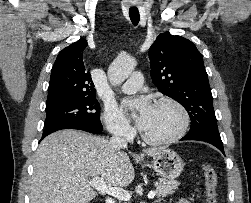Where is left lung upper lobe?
<instances>
[{
  "instance_id": "1",
  "label": "left lung upper lobe",
  "mask_w": 251,
  "mask_h": 203,
  "mask_svg": "<svg viewBox=\"0 0 251 203\" xmlns=\"http://www.w3.org/2000/svg\"><path fill=\"white\" fill-rule=\"evenodd\" d=\"M151 78L158 90L187 110L188 134H219L203 56L188 39L161 33L149 49Z\"/></svg>"
}]
</instances>
